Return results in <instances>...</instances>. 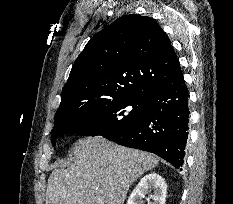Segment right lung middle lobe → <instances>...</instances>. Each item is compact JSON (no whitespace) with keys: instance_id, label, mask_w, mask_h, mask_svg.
I'll return each instance as SVG.
<instances>
[{"instance_id":"obj_1","label":"right lung middle lobe","mask_w":233,"mask_h":204,"mask_svg":"<svg viewBox=\"0 0 233 204\" xmlns=\"http://www.w3.org/2000/svg\"><path fill=\"white\" fill-rule=\"evenodd\" d=\"M147 96H135L106 102L86 112H78L60 124L54 125V142L66 133L100 135L110 139L126 131L146 114Z\"/></svg>"}]
</instances>
